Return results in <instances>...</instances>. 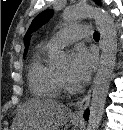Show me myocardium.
I'll use <instances>...</instances> for the list:
<instances>
[{"label":"myocardium","mask_w":123,"mask_h":130,"mask_svg":"<svg viewBox=\"0 0 123 130\" xmlns=\"http://www.w3.org/2000/svg\"><path fill=\"white\" fill-rule=\"evenodd\" d=\"M57 76H58V79H59V81H60L61 84L68 85L67 78H65L64 76H62L61 74H59V72H57Z\"/></svg>","instance_id":"obj_1"}]
</instances>
